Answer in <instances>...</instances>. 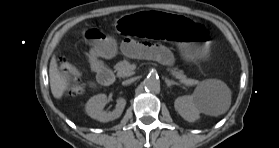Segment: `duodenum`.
I'll return each instance as SVG.
<instances>
[{
  "label": "duodenum",
  "mask_w": 279,
  "mask_h": 148,
  "mask_svg": "<svg viewBox=\"0 0 279 148\" xmlns=\"http://www.w3.org/2000/svg\"><path fill=\"white\" fill-rule=\"evenodd\" d=\"M92 69L97 73L100 81L105 84H112L113 83V74L112 72L105 67L103 62L99 59H94L91 63Z\"/></svg>",
  "instance_id": "410a0bca"
}]
</instances>
